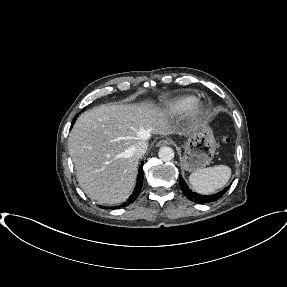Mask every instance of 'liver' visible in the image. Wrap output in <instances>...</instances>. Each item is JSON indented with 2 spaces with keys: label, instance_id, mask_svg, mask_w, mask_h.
Here are the masks:
<instances>
[{
  "label": "liver",
  "instance_id": "6515ba94",
  "mask_svg": "<svg viewBox=\"0 0 287 287\" xmlns=\"http://www.w3.org/2000/svg\"><path fill=\"white\" fill-rule=\"evenodd\" d=\"M169 122L154 101L102 104L75 122L69 154L80 187L101 204L124 202L132 193L139 158L131 148L151 134H170Z\"/></svg>",
  "mask_w": 287,
  "mask_h": 287
}]
</instances>
